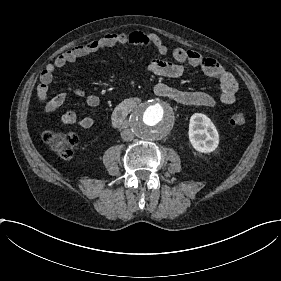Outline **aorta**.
<instances>
[{"mask_svg": "<svg viewBox=\"0 0 281 281\" xmlns=\"http://www.w3.org/2000/svg\"><path fill=\"white\" fill-rule=\"evenodd\" d=\"M173 123L174 115L170 108L153 100L139 104L130 115L132 132L147 141L165 137Z\"/></svg>", "mask_w": 281, "mask_h": 281, "instance_id": "obj_1", "label": "aorta"}]
</instances>
